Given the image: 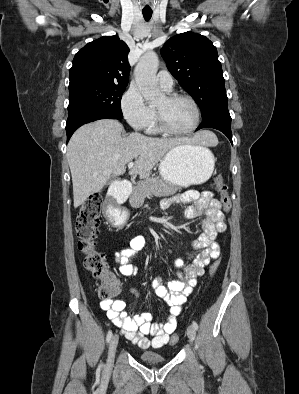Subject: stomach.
<instances>
[{"mask_svg":"<svg viewBox=\"0 0 299 394\" xmlns=\"http://www.w3.org/2000/svg\"><path fill=\"white\" fill-rule=\"evenodd\" d=\"M214 165V156L206 147L183 143L166 153L159 164V174L168 184L188 187L206 182Z\"/></svg>","mask_w":299,"mask_h":394,"instance_id":"stomach-1","label":"stomach"}]
</instances>
